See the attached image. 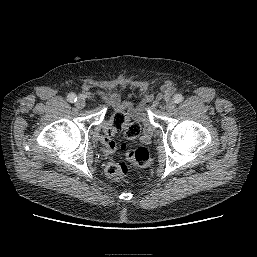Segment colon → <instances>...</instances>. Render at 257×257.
Returning <instances> with one entry per match:
<instances>
[{"mask_svg":"<svg viewBox=\"0 0 257 257\" xmlns=\"http://www.w3.org/2000/svg\"><path fill=\"white\" fill-rule=\"evenodd\" d=\"M141 132L140 125L130 121L128 116L123 112H117L105 123L102 144L105 151L111 152L115 149V142L112 137L117 133H122L128 140L136 139ZM127 160H118L111 162L107 166V174L113 179H125L130 172V163L140 167L150 164L151 157L145 147H126Z\"/></svg>","mask_w":257,"mask_h":257,"instance_id":"5ec220e1","label":"colon"}]
</instances>
